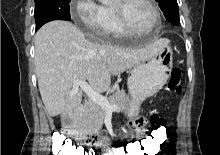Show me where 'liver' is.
<instances>
[{
  "label": "liver",
  "instance_id": "6515ba94",
  "mask_svg": "<svg viewBox=\"0 0 220 155\" xmlns=\"http://www.w3.org/2000/svg\"><path fill=\"white\" fill-rule=\"evenodd\" d=\"M168 41L143 49L99 45L87 40L71 22L55 20L35 36V67L42 101L49 116L74 110L82 90L71 95L75 80H84L96 91H106L111 78L152 58Z\"/></svg>",
  "mask_w": 220,
  "mask_h": 155
}]
</instances>
